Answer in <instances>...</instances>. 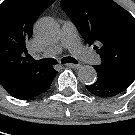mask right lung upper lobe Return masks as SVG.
I'll list each match as a JSON object with an SVG mask.
<instances>
[{
    "label": "right lung upper lobe",
    "mask_w": 135,
    "mask_h": 135,
    "mask_svg": "<svg viewBox=\"0 0 135 135\" xmlns=\"http://www.w3.org/2000/svg\"><path fill=\"white\" fill-rule=\"evenodd\" d=\"M55 0H5L0 4V85L6 91L19 88L24 79L40 77L49 67L29 60L26 44L38 16Z\"/></svg>",
    "instance_id": "1"
}]
</instances>
